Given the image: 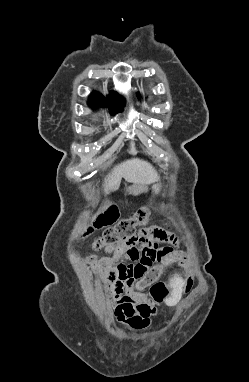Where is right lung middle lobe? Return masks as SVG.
Segmentation results:
<instances>
[{"mask_svg":"<svg viewBox=\"0 0 249 382\" xmlns=\"http://www.w3.org/2000/svg\"><path fill=\"white\" fill-rule=\"evenodd\" d=\"M111 113L115 114V113H117V112H111Z\"/></svg>","mask_w":249,"mask_h":382,"instance_id":"dd1d6c3e","label":"right lung middle lobe"}]
</instances>
